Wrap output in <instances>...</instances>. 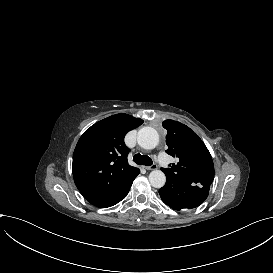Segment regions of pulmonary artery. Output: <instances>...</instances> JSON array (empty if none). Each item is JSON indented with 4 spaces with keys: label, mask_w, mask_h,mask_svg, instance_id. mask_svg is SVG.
Masks as SVG:
<instances>
[{
    "label": "pulmonary artery",
    "mask_w": 273,
    "mask_h": 273,
    "mask_svg": "<svg viewBox=\"0 0 273 273\" xmlns=\"http://www.w3.org/2000/svg\"><path fill=\"white\" fill-rule=\"evenodd\" d=\"M158 162L160 163V166L164 168L166 172H169L171 170V167L168 163H166L165 160V153L163 151H160L158 153Z\"/></svg>",
    "instance_id": "obj_1"
}]
</instances>
